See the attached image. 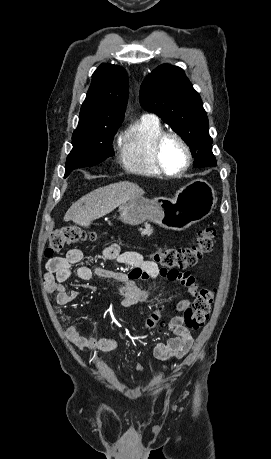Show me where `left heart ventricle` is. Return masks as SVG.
I'll return each mask as SVG.
<instances>
[{"label":"left heart ventricle","instance_id":"obj_1","mask_svg":"<svg viewBox=\"0 0 271 459\" xmlns=\"http://www.w3.org/2000/svg\"><path fill=\"white\" fill-rule=\"evenodd\" d=\"M162 158L172 171L183 169L187 163V152L182 142L176 137H168L162 144Z\"/></svg>","mask_w":271,"mask_h":459}]
</instances>
